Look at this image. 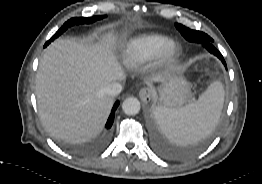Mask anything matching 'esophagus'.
<instances>
[{
    "label": "esophagus",
    "instance_id": "34e87169",
    "mask_svg": "<svg viewBox=\"0 0 262 184\" xmlns=\"http://www.w3.org/2000/svg\"><path fill=\"white\" fill-rule=\"evenodd\" d=\"M139 96L142 102L148 103L152 99V90L148 87H144L140 90Z\"/></svg>",
    "mask_w": 262,
    "mask_h": 184
}]
</instances>
